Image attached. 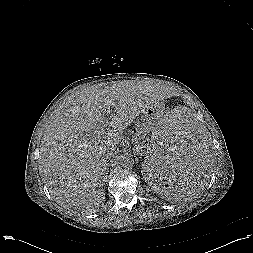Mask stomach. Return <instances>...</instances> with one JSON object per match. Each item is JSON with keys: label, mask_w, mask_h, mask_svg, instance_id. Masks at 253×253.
I'll list each match as a JSON object with an SVG mask.
<instances>
[{"label": "stomach", "mask_w": 253, "mask_h": 253, "mask_svg": "<svg viewBox=\"0 0 253 253\" xmlns=\"http://www.w3.org/2000/svg\"><path fill=\"white\" fill-rule=\"evenodd\" d=\"M162 111L163 110L160 107H157L156 104L148 107L142 113V116H141L142 122L146 126L152 129L158 121L163 119Z\"/></svg>", "instance_id": "stomach-1"}]
</instances>
